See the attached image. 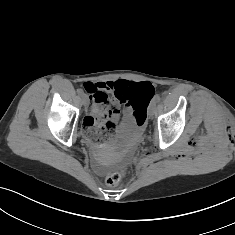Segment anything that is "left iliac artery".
<instances>
[{"label": "left iliac artery", "instance_id": "44dca946", "mask_svg": "<svg viewBox=\"0 0 235 235\" xmlns=\"http://www.w3.org/2000/svg\"><path fill=\"white\" fill-rule=\"evenodd\" d=\"M159 101H160V96L159 95L155 96L153 102L157 103Z\"/></svg>", "mask_w": 235, "mask_h": 235}]
</instances>
